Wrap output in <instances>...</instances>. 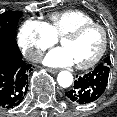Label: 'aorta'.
Instances as JSON below:
<instances>
[{"label":"aorta","instance_id":"obj_1","mask_svg":"<svg viewBox=\"0 0 117 117\" xmlns=\"http://www.w3.org/2000/svg\"><path fill=\"white\" fill-rule=\"evenodd\" d=\"M58 84L63 88H68L73 82V76L69 71H61L57 77Z\"/></svg>","mask_w":117,"mask_h":117}]
</instances>
